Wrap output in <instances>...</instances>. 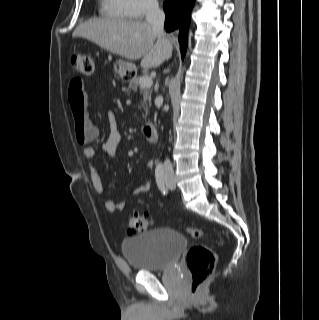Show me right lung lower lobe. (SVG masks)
Here are the masks:
<instances>
[{
    "label": "right lung lower lobe",
    "instance_id": "right-lung-lower-lobe-1",
    "mask_svg": "<svg viewBox=\"0 0 319 320\" xmlns=\"http://www.w3.org/2000/svg\"><path fill=\"white\" fill-rule=\"evenodd\" d=\"M195 0H165L163 8L166 14L165 29L170 32L179 29V43L182 58L187 49V31L190 25V13Z\"/></svg>",
    "mask_w": 319,
    "mask_h": 320
}]
</instances>
